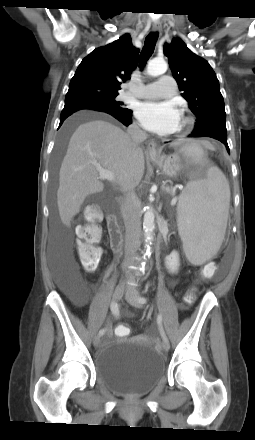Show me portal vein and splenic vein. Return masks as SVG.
Returning <instances> with one entry per match:
<instances>
[{"instance_id": "portal-vein-and-splenic-vein-1", "label": "portal vein and splenic vein", "mask_w": 255, "mask_h": 440, "mask_svg": "<svg viewBox=\"0 0 255 440\" xmlns=\"http://www.w3.org/2000/svg\"><path fill=\"white\" fill-rule=\"evenodd\" d=\"M97 170L99 171L100 179H106L108 181L114 180V174L111 171H108V170L103 169L101 167H98Z\"/></svg>"}]
</instances>
